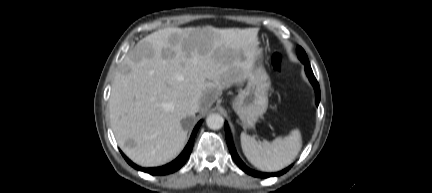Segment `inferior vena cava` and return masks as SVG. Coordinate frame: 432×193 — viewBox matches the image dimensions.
<instances>
[{
	"label": "inferior vena cava",
	"mask_w": 432,
	"mask_h": 193,
	"mask_svg": "<svg viewBox=\"0 0 432 193\" xmlns=\"http://www.w3.org/2000/svg\"><path fill=\"white\" fill-rule=\"evenodd\" d=\"M190 108L193 112H198L200 110V100L194 98L190 103Z\"/></svg>",
	"instance_id": "inferior-vena-cava-1"
}]
</instances>
